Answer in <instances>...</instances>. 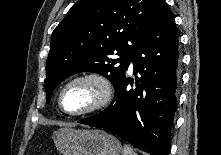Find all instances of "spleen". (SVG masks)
I'll list each match as a JSON object with an SVG mask.
<instances>
[{
    "instance_id": "1",
    "label": "spleen",
    "mask_w": 221,
    "mask_h": 155,
    "mask_svg": "<svg viewBox=\"0 0 221 155\" xmlns=\"http://www.w3.org/2000/svg\"><path fill=\"white\" fill-rule=\"evenodd\" d=\"M122 155H137L132 147L129 145H124L123 154Z\"/></svg>"
}]
</instances>
